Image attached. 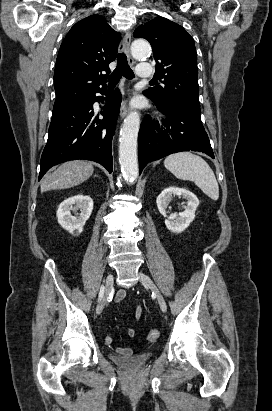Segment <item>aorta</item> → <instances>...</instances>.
Masks as SVG:
<instances>
[{
    "label": "aorta",
    "mask_w": 272,
    "mask_h": 411,
    "mask_svg": "<svg viewBox=\"0 0 272 411\" xmlns=\"http://www.w3.org/2000/svg\"><path fill=\"white\" fill-rule=\"evenodd\" d=\"M150 45L144 40H135L131 52L135 58H144L150 54ZM140 127L138 112H131L123 122L120 131L119 162L125 180L133 183L138 177L137 138Z\"/></svg>",
    "instance_id": "1"
}]
</instances>
